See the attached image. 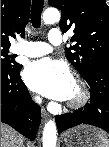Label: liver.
Instances as JSON below:
<instances>
[{"mask_svg": "<svg viewBox=\"0 0 109 147\" xmlns=\"http://www.w3.org/2000/svg\"><path fill=\"white\" fill-rule=\"evenodd\" d=\"M1 147H23V138L10 126L1 124Z\"/></svg>", "mask_w": 109, "mask_h": 147, "instance_id": "liver-1", "label": "liver"}]
</instances>
